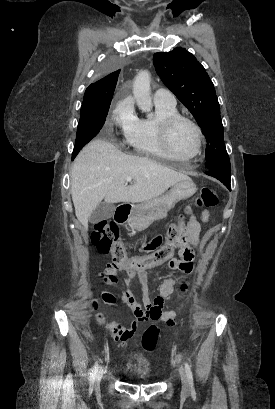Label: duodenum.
I'll return each mask as SVG.
<instances>
[{
	"mask_svg": "<svg viewBox=\"0 0 275 409\" xmlns=\"http://www.w3.org/2000/svg\"><path fill=\"white\" fill-rule=\"evenodd\" d=\"M131 212H132L131 205L121 204L117 208L114 218H115L116 222H118L120 224L125 223L129 219V217L131 215Z\"/></svg>",
	"mask_w": 275,
	"mask_h": 409,
	"instance_id": "410a0bca",
	"label": "duodenum"
}]
</instances>
